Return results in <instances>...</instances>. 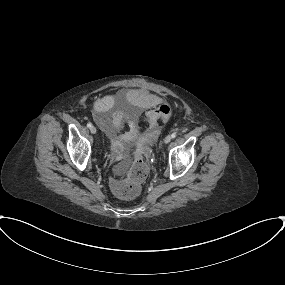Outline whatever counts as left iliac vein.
<instances>
[{"label": "left iliac vein", "mask_w": 285, "mask_h": 285, "mask_svg": "<svg viewBox=\"0 0 285 285\" xmlns=\"http://www.w3.org/2000/svg\"><path fill=\"white\" fill-rule=\"evenodd\" d=\"M172 137L171 135H167L164 139V144H168L171 141Z\"/></svg>", "instance_id": "obj_1"}]
</instances>
